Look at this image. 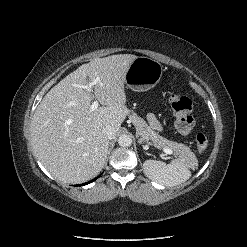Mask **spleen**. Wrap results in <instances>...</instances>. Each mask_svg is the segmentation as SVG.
<instances>
[{"label": "spleen", "instance_id": "obj_1", "mask_svg": "<svg viewBox=\"0 0 247 247\" xmlns=\"http://www.w3.org/2000/svg\"><path fill=\"white\" fill-rule=\"evenodd\" d=\"M143 166L148 178L169 187L182 184L191 177L189 166L183 159H174L169 164L146 160Z\"/></svg>", "mask_w": 247, "mask_h": 247}]
</instances>
